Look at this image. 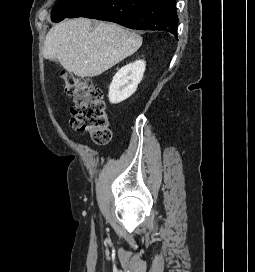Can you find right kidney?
I'll return each mask as SVG.
<instances>
[{"instance_id": "obj_1", "label": "right kidney", "mask_w": 255, "mask_h": 272, "mask_svg": "<svg viewBox=\"0 0 255 272\" xmlns=\"http://www.w3.org/2000/svg\"><path fill=\"white\" fill-rule=\"evenodd\" d=\"M145 61L138 60L122 67L113 77L109 87V101L118 104L129 98L138 87L145 72Z\"/></svg>"}]
</instances>
